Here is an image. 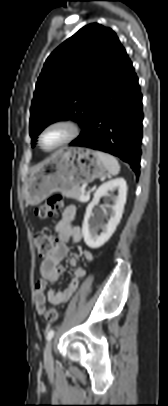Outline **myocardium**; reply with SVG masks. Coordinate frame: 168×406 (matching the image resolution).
I'll return each mask as SVG.
<instances>
[{"mask_svg": "<svg viewBox=\"0 0 168 406\" xmlns=\"http://www.w3.org/2000/svg\"><path fill=\"white\" fill-rule=\"evenodd\" d=\"M53 127L64 128L66 130V136L63 139V141L61 143H59L58 145H56L55 147L46 148L43 146L42 137H43V134L48 129L53 128ZM79 134H80V126L76 121L69 119V118H59V119L50 121L41 129V131L38 134V144L41 147V149H43L44 151L52 152V151H56L60 148L65 147L66 145L71 143L74 139H76Z\"/></svg>", "mask_w": 168, "mask_h": 406, "instance_id": "1", "label": "myocardium"}]
</instances>
